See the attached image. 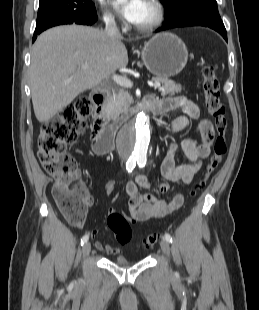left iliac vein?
Returning a JSON list of instances; mask_svg holds the SVG:
<instances>
[{"label": "left iliac vein", "mask_w": 259, "mask_h": 310, "mask_svg": "<svg viewBox=\"0 0 259 310\" xmlns=\"http://www.w3.org/2000/svg\"><path fill=\"white\" fill-rule=\"evenodd\" d=\"M163 253L169 258L170 257V246L166 239H162L160 242Z\"/></svg>", "instance_id": "1"}]
</instances>
